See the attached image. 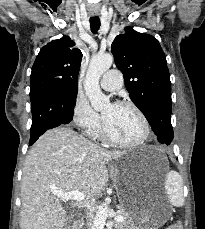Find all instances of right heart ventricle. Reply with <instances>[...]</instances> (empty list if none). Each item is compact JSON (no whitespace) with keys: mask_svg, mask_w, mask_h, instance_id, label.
<instances>
[{"mask_svg":"<svg viewBox=\"0 0 205 229\" xmlns=\"http://www.w3.org/2000/svg\"><path fill=\"white\" fill-rule=\"evenodd\" d=\"M92 134H93L94 136H98V135H99V131H98V129H97V130H95Z\"/></svg>","mask_w":205,"mask_h":229,"instance_id":"right-heart-ventricle-1","label":"right heart ventricle"}]
</instances>
